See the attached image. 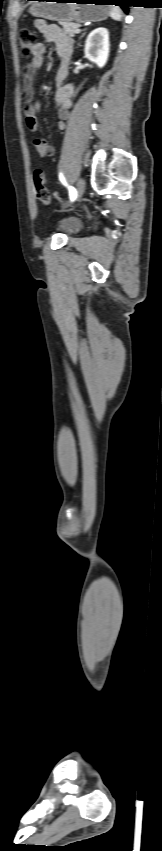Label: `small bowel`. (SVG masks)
<instances>
[{"mask_svg":"<svg viewBox=\"0 0 162 851\" xmlns=\"http://www.w3.org/2000/svg\"><path fill=\"white\" fill-rule=\"evenodd\" d=\"M35 26L45 39L53 42L56 47L59 66L55 76L54 104L58 111L57 128L59 130H65L69 118V110L72 107L74 92L71 84L63 83L68 73L72 53V40L59 26L48 24L45 20H37ZM45 51V45L43 43H37L33 48L31 62L24 67V116L26 126L32 132H35L38 128L37 114L41 110V104L34 101L33 79L36 71L43 65ZM31 142L41 157L48 158L54 155L55 149L46 139L33 137Z\"/></svg>","mask_w":162,"mask_h":851,"instance_id":"obj_1","label":"small bowel"}]
</instances>
